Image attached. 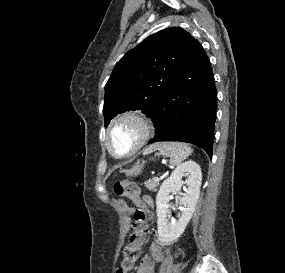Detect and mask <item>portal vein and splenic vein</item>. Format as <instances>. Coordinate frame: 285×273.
Returning <instances> with one entry per match:
<instances>
[{"instance_id": "1", "label": "portal vein and splenic vein", "mask_w": 285, "mask_h": 273, "mask_svg": "<svg viewBox=\"0 0 285 273\" xmlns=\"http://www.w3.org/2000/svg\"><path fill=\"white\" fill-rule=\"evenodd\" d=\"M154 179H155V180H159V177L156 176Z\"/></svg>"}]
</instances>
